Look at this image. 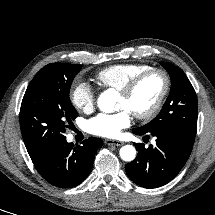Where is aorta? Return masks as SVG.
<instances>
[{
	"label": "aorta",
	"mask_w": 215,
	"mask_h": 215,
	"mask_svg": "<svg viewBox=\"0 0 215 215\" xmlns=\"http://www.w3.org/2000/svg\"><path fill=\"white\" fill-rule=\"evenodd\" d=\"M119 98L118 93L113 89L102 92L98 98L99 109L105 113H111L115 110V103ZM136 156V149L132 145H125L120 149V157L124 161H132Z\"/></svg>",
	"instance_id": "1"
}]
</instances>
